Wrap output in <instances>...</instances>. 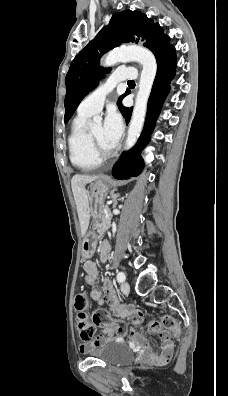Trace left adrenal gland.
I'll return each instance as SVG.
<instances>
[{"mask_svg":"<svg viewBox=\"0 0 228 396\" xmlns=\"http://www.w3.org/2000/svg\"><path fill=\"white\" fill-rule=\"evenodd\" d=\"M112 200H113V207L117 205V198L119 197V194H114L112 193Z\"/></svg>","mask_w":228,"mask_h":396,"instance_id":"obj_1","label":"left adrenal gland"}]
</instances>
